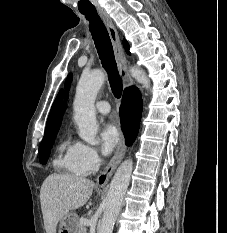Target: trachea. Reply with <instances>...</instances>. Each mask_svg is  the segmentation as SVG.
Segmentation results:
<instances>
[{
	"mask_svg": "<svg viewBox=\"0 0 227 233\" xmlns=\"http://www.w3.org/2000/svg\"><path fill=\"white\" fill-rule=\"evenodd\" d=\"M89 21V28L92 34L99 58L103 68L108 73V80L112 93L116 98H120L123 90L122 80L117 70L114 51L109 37V33L99 17L97 11L81 12Z\"/></svg>",
	"mask_w": 227,
	"mask_h": 233,
	"instance_id": "3493384b",
	"label": "trachea"
}]
</instances>
